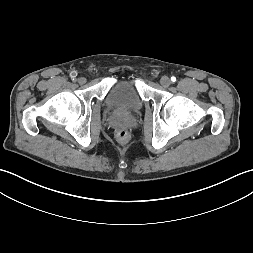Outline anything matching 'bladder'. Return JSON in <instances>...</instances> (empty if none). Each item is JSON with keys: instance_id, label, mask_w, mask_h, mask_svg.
I'll return each instance as SVG.
<instances>
[{"instance_id": "obj_1", "label": "bladder", "mask_w": 253, "mask_h": 253, "mask_svg": "<svg viewBox=\"0 0 253 253\" xmlns=\"http://www.w3.org/2000/svg\"><path fill=\"white\" fill-rule=\"evenodd\" d=\"M104 103L109 110L125 115L143 107V99L133 79L116 81L105 95Z\"/></svg>"}]
</instances>
